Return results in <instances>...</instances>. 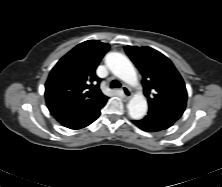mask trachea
<instances>
[{
    "instance_id": "1",
    "label": "trachea",
    "mask_w": 222,
    "mask_h": 187,
    "mask_svg": "<svg viewBox=\"0 0 222 187\" xmlns=\"http://www.w3.org/2000/svg\"><path fill=\"white\" fill-rule=\"evenodd\" d=\"M121 87V84L119 81L117 80H113L111 83H110V88H120Z\"/></svg>"
}]
</instances>
